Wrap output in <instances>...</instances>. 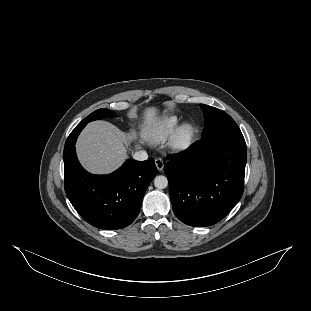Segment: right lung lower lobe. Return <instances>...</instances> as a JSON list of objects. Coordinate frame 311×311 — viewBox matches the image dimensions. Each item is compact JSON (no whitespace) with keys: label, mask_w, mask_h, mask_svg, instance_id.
I'll list each match as a JSON object with an SVG mask.
<instances>
[{"label":"right lung lower lobe","mask_w":311,"mask_h":311,"mask_svg":"<svg viewBox=\"0 0 311 311\" xmlns=\"http://www.w3.org/2000/svg\"><path fill=\"white\" fill-rule=\"evenodd\" d=\"M87 124L79 123L64 147L65 192L75 210L100 229H121L137 217L145 191L157 174L154 159L127 160L109 175H91L78 162L75 143Z\"/></svg>","instance_id":"obj_1"}]
</instances>
